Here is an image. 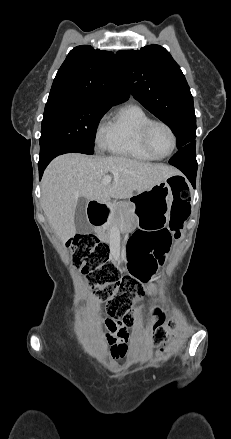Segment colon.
Masks as SVG:
<instances>
[{
  "label": "colon",
  "mask_w": 231,
  "mask_h": 439,
  "mask_svg": "<svg viewBox=\"0 0 231 439\" xmlns=\"http://www.w3.org/2000/svg\"><path fill=\"white\" fill-rule=\"evenodd\" d=\"M171 189L175 200L171 207L169 227L178 234L190 214L191 189L182 179L172 180ZM142 240L143 236L137 234L130 242L137 248ZM67 247L72 251L74 267L86 276L96 290L97 297L106 302L108 314L125 325H131L133 302L144 295L142 282L151 277V271L142 263H137L131 266L132 275H121L110 257L108 245L93 234L76 235ZM163 324L164 318L158 314L152 331L153 342L156 344L166 343L168 340Z\"/></svg>",
  "instance_id": "colon-1"
}]
</instances>
